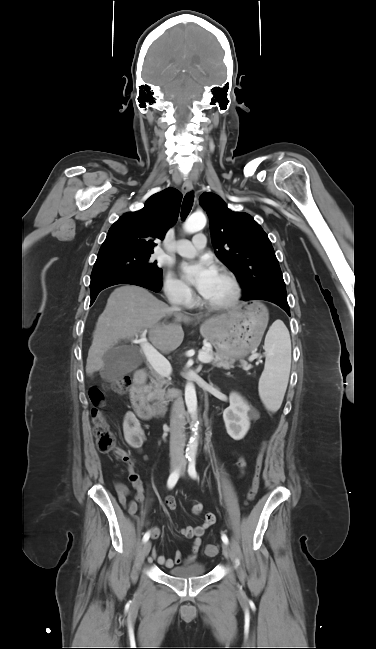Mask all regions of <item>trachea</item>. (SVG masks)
Listing matches in <instances>:
<instances>
[{"label":"trachea","instance_id":"obj_1","mask_svg":"<svg viewBox=\"0 0 376 649\" xmlns=\"http://www.w3.org/2000/svg\"><path fill=\"white\" fill-rule=\"evenodd\" d=\"M193 201H194V193L193 192L187 193L183 199V203L181 207V218L183 220H185L186 217L189 215L193 206Z\"/></svg>","mask_w":376,"mask_h":649}]
</instances>
